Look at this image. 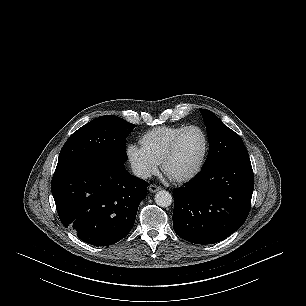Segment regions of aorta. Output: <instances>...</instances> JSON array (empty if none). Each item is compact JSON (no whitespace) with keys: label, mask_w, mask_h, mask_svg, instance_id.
Here are the masks:
<instances>
[{"label":"aorta","mask_w":306,"mask_h":306,"mask_svg":"<svg viewBox=\"0 0 306 306\" xmlns=\"http://www.w3.org/2000/svg\"><path fill=\"white\" fill-rule=\"evenodd\" d=\"M155 202L160 207H168L172 203V196L168 191L160 190L155 194Z\"/></svg>","instance_id":"aorta-1"}]
</instances>
